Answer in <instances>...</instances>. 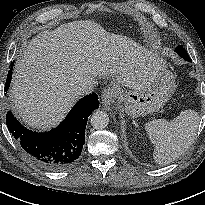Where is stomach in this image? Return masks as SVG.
<instances>
[{
  "label": "stomach",
  "mask_w": 205,
  "mask_h": 205,
  "mask_svg": "<svg viewBox=\"0 0 205 205\" xmlns=\"http://www.w3.org/2000/svg\"><path fill=\"white\" fill-rule=\"evenodd\" d=\"M176 89L175 76L167 69H162L147 88L124 91L117 88L119 99L125 112L131 117L144 116L162 108Z\"/></svg>",
  "instance_id": "obj_1"
}]
</instances>
